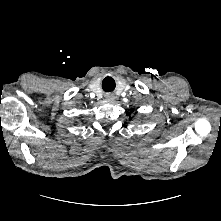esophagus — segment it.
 Wrapping results in <instances>:
<instances>
[{
	"instance_id": "esophagus-1",
	"label": "esophagus",
	"mask_w": 221,
	"mask_h": 221,
	"mask_svg": "<svg viewBox=\"0 0 221 221\" xmlns=\"http://www.w3.org/2000/svg\"><path fill=\"white\" fill-rule=\"evenodd\" d=\"M106 98H107L108 100H112V99H114V95H112V94H107V95H106Z\"/></svg>"
}]
</instances>
